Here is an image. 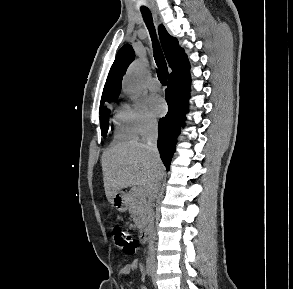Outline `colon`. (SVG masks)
Instances as JSON below:
<instances>
[{"label":"colon","mask_w":293,"mask_h":289,"mask_svg":"<svg viewBox=\"0 0 293 289\" xmlns=\"http://www.w3.org/2000/svg\"><path fill=\"white\" fill-rule=\"evenodd\" d=\"M113 237L119 249L127 254L133 255L137 250V243L134 238L119 226L113 227Z\"/></svg>","instance_id":"obj_1"}]
</instances>
